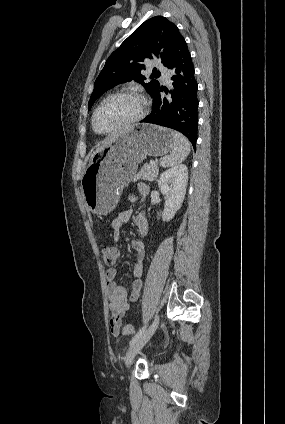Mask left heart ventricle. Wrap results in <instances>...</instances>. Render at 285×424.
I'll use <instances>...</instances> for the list:
<instances>
[{
	"label": "left heart ventricle",
	"instance_id": "1",
	"mask_svg": "<svg viewBox=\"0 0 285 424\" xmlns=\"http://www.w3.org/2000/svg\"><path fill=\"white\" fill-rule=\"evenodd\" d=\"M141 102L134 96H118L108 100L97 112L95 127L106 131L132 119L138 114Z\"/></svg>",
	"mask_w": 285,
	"mask_h": 424
}]
</instances>
